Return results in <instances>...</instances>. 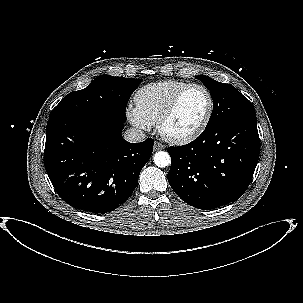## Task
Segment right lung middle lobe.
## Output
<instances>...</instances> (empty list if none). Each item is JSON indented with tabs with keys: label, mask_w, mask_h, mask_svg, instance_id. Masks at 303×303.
Returning a JSON list of instances; mask_svg holds the SVG:
<instances>
[{
	"label": "right lung middle lobe",
	"mask_w": 303,
	"mask_h": 303,
	"mask_svg": "<svg viewBox=\"0 0 303 303\" xmlns=\"http://www.w3.org/2000/svg\"><path fill=\"white\" fill-rule=\"evenodd\" d=\"M141 81L100 75L85 89L66 95L50 112L49 120L78 115H105L125 122L127 102Z\"/></svg>",
	"instance_id": "1"
}]
</instances>
